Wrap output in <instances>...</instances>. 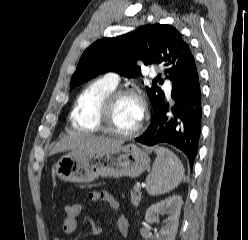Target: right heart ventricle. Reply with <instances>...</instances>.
<instances>
[{"label":"right heart ventricle","mask_w":248,"mask_h":240,"mask_svg":"<svg viewBox=\"0 0 248 240\" xmlns=\"http://www.w3.org/2000/svg\"><path fill=\"white\" fill-rule=\"evenodd\" d=\"M116 86L106 78L97 79L88 84L78 95L70 114L71 125L75 130L94 133L99 131L96 125V111L100 102Z\"/></svg>","instance_id":"1"}]
</instances>
